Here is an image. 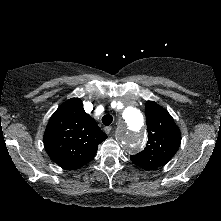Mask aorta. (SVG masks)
<instances>
[{"mask_svg": "<svg viewBox=\"0 0 221 221\" xmlns=\"http://www.w3.org/2000/svg\"><path fill=\"white\" fill-rule=\"evenodd\" d=\"M117 138L131 153L142 148L145 142V120L139 109L128 106L123 110Z\"/></svg>", "mask_w": 221, "mask_h": 221, "instance_id": "aorta-1", "label": "aorta"}]
</instances>
